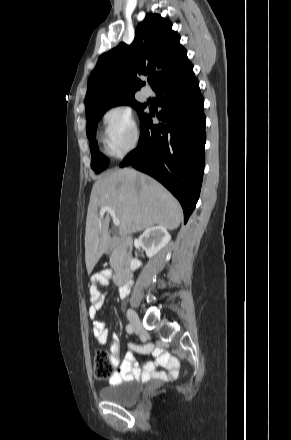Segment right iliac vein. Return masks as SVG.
I'll return each mask as SVG.
<instances>
[{
  "instance_id": "obj_1",
  "label": "right iliac vein",
  "mask_w": 291,
  "mask_h": 440,
  "mask_svg": "<svg viewBox=\"0 0 291 440\" xmlns=\"http://www.w3.org/2000/svg\"><path fill=\"white\" fill-rule=\"evenodd\" d=\"M127 317H128V320L130 321L131 325L133 326L134 330L136 332H139L142 327V324H141L140 319L137 316L136 312L132 309H129L127 311Z\"/></svg>"
}]
</instances>
